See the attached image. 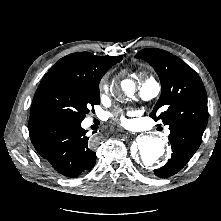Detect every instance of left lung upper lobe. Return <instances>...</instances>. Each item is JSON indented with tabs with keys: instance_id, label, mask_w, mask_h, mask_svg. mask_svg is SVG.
Wrapping results in <instances>:
<instances>
[{
	"instance_id": "5c2ea615",
	"label": "left lung upper lobe",
	"mask_w": 221,
	"mask_h": 221,
	"mask_svg": "<svg viewBox=\"0 0 221 221\" xmlns=\"http://www.w3.org/2000/svg\"><path fill=\"white\" fill-rule=\"evenodd\" d=\"M135 57L147 61L161 82V96L150 116L164 125L180 124L204 132L207 96L199 75L180 58L161 49H143Z\"/></svg>"
}]
</instances>
